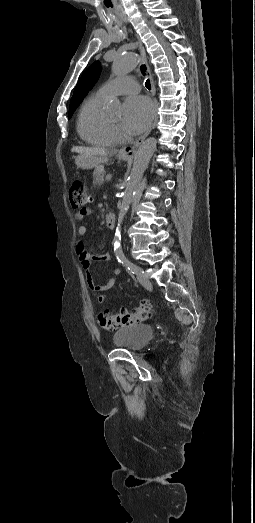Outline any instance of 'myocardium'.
I'll return each mask as SVG.
<instances>
[{"label": "myocardium", "instance_id": "f54148a6", "mask_svg": "<svg viewBox=\"0 0 255 523\" xmlns=\"http://www.w3.org/2000/svg\"><path fill=\"white\" fill-rule=\"evenodd\" d=\"M106 125L117 141L124 142L130 139L125 133L122 132L118 124L108 116L106 117Z\"/></svg>", "mask_w": 255, "mask_h": 523}]
</instances>
